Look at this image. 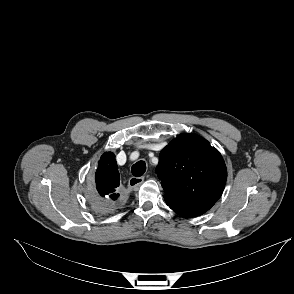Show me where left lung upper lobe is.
Here are the masks:
<instances>
[{"instance_id":"1","label":"left lung upper lobe","mask_w":294,"mask_h":294,"mask_svg":"<svg viewBox=\"0 0 294 294\" xmlns=\"http://www.w3.org/2000/svg\"><path fill=\"white\" fill-rule=\"evenodd\" d=\"M156 174L167 205L184 217L209 210L221 197L227 169L218 150L196 134H181L159 155Z\"/></svg>"}]
</instances>
